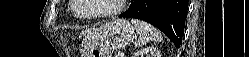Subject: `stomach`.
Wrapping results in <instances>:
<instances>
[{"label": "stomach", "instance_id": "1", "mask_svg": "<svg viewBox=\"0 0 249 57\" xmlns=\"http://www.w3.org/2000/svg\"><path fill=\"white\" fill-rule=\"evenodd\" d=\"M135 38V28L127 19L105 23L83 40L82 57H112L114 49L129 45Z\"/></svg>", "mask_w": 249, "mask_h": 57}]
</instances>
